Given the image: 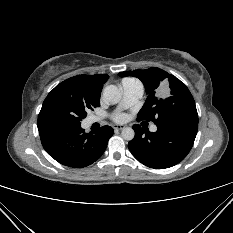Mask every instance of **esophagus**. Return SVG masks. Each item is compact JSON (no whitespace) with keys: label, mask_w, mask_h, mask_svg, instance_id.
<instances>
[{"label":"esophagus","mask_w":233,"mask_h":233,"mask_svg":"<svg viewBox=\"0 0 233 233\" xmlns=\"http://www.w3.org/2000/svg\"><path fill=\"white\" fill-rule=\"evenodd\" d=\"M124 128H125L124 125H113V129H114V130H122V129H124Z\"/></svg>","instance_id":"1"}]
</instances>
